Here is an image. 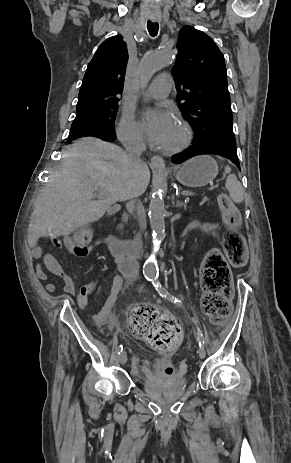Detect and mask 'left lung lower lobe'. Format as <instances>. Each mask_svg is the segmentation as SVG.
I'll return each instance as SVG.
<instances>
[{"instance_id": "obj_1", "label": "left lung lower lobe", "mask_w": 291, "mask_h": 463, "mask_svg": "<svg viewBox=\"0 0 291 463\" xmlns=\"http://www.w3.org/2000/svg\"><path fill=\"white\" fill-rule=\"evenodd\" d=\"M203 154H214L227 158L230 161H232L240 170L236 145L218 140H213L210 138L194 137L192 145L181 154L173 156L172 161L173 163L179 164L188 160L191 157Z\"/></svg>"}]
</instances>
